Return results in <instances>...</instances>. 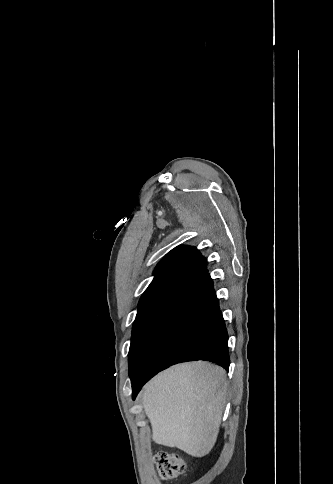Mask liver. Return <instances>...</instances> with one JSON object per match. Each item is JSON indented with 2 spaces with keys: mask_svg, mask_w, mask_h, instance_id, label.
Masks as SVG:
<instances>
[{
  "mask_svg": "<svg viewBox=\"0 0 333 484\" xmlns=\"http://www.w3.org/2000/svg\"><path fill=\"white\" fill-rule=\"evenodd\" d=\"M226 391L225 370L207 362L180 364L155 376L141 394L153 439L205 456L217 440Z\"/></svg>",
  "mask_w": 333,
  "mask_h": 484,
  "instance_id": "liver-1",
  "label": "liver"
}]
</instances>
